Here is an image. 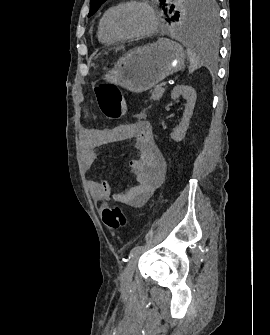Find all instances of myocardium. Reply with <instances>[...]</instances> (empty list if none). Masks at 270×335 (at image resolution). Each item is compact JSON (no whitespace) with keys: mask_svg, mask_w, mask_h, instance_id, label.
Here are the masks:
<instances>
[{"mask_svg":"<svg viewBox=\"0 0 270 335\" xmlns=\"http://www.w3.org/2000/svg\"><path fill=\"white\" fill-rule=\"evenodd\" d=\"M129 4L140 5L147 12V14L150 16L152 23H151V26L149 27V29L147 31H145L143 33H138V34H127V33H123L121 31H119L115 27V25H114L115 15L125 5H129ZM157 25H158V17L156 15V13L154 12V10L151 7H149L148 5H146L142 2L135 1V0L119 3L117 6H115L110 11V13L108 14V17H107V21H106V26H107V29H108L109 33L111 35H113L114 37H116L118 39H123V40H140V39L146 38V37L150 36L155 31V29L157 28ZM131 52H140V49H135Z\"/></svg>","mask_w":270,"mask_h":335,"instance_id":"1","label":"myocardium"}]
</instances>
